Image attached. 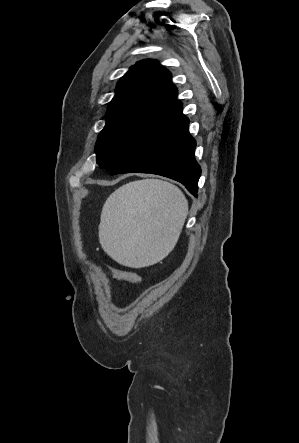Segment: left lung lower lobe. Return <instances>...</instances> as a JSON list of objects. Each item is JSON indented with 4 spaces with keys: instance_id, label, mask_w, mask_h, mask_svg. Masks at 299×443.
Segmentation results:
<instances>
[{
    "instance_id": "left-lung-lower-lobe-1",
    "label": "left lung lower lobe",
    "mask_w": 299,
    "mask_h": 443,
    "mask_svg": "<svg viewBox=\"0 0 299 443\" xmlns=\"http://www.w3.org/2000/svg\"><path fill=\"white\" fill-rule=\"evenodd\" d=\"M188 123L177 101L112 166L110 174H158L179 181L197 196L201 168L194 158L196 142Z\"/></svg>"
}]
</instances>
